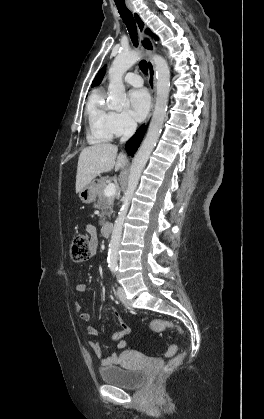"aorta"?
Segmentation results:
<instances>
[{"instance_id":"762f6f07","label":"aorta","mask_w":264,"mask_h":419,"mask_svg":"<svg viewBox=\"0 0 264 419\" xmlns=\"http://www.w3.org/2000/svg\"><path fill=\"white\" fill-rule=\"evenodd\" d=\"M140 59V53L136 51L121 53L113 61L109 69V100L108 106L113 110H120L128 104L125 86L123 84L124 73ZM156 70V104L147 135L135 155L128 179V187L122 198V206L115 220L112 230L108 251V266L116 268L118 259V247L121 240L123 224L127 211L138 185L141 173L148 158L153 151L164 122L167 111L168 96L170 89V69L164 58L159 55L152 56Z\"/></svg>"}]
</instances>
